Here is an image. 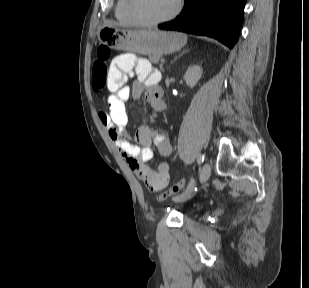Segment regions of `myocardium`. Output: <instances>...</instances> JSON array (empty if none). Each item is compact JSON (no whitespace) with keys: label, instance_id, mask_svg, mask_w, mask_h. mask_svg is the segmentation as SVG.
<instances>
[{"label":"myocardium","instance_id":"obj_1","mask_svg":"<svg viewBox=\"0 0 309 288\" xmlns=\"http://www.w3.org/2000/svg\"><path fill=\"white\" fill-rule=\"evenodd\" d=\"M184 0H177L174 9L166 16L156 20H144L140 18L134 10V0H126L125 10L133 24L142 27H153L175 18L182 10Z\"/></svg>","mask_w":309,"mask_h":288}]
</instances>
